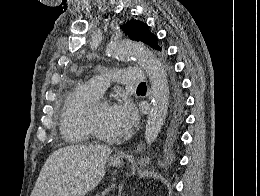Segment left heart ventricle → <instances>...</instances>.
Wrapping results in <instances>:
<instances>
[{"mask_svg": "<svg viewBox=\"0 0 260 196\" xmlns=\"http://www.w3.org/2000/svg\"><path fill=\"white\" fill-rule=\"evenodd\" d=\"M95 119L97 125L104 131L114 134L118 132V129L114 123L111 114V106L110 105H102L95 114Z\"/></svg>", "mask_w": 260, "mask_h": 196, "instance_id": "b2bd125f", "label": "left heart ventricle"}]
</instances>
